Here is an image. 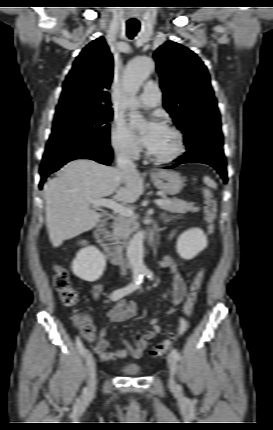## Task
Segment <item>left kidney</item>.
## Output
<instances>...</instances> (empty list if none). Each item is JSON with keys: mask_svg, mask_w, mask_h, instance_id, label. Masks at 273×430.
I'll list each match as a JSON object with an SVG mask.
<instances>
[{"mask_svg": "<svg viewBox=\"0 0 273 430\" xmlns=\"http://www.w3.org/2000/svg\"><path fill=\"white\" fill-rule=\"evenodd\" d=\"M208 245V240L200 228H191L183 232L177 240L178 254L186 260L193 259Z\"/></svg>", "mask_w": 273, "mask_h": 430, "instance_id": "left-kidney-1", "label": "left kidney"}]
</instances>
